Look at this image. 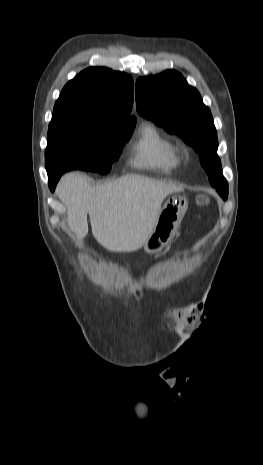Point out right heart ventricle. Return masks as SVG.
I'll use <instances>...</instances> for the list:
<instances>
[{
    "label": "right heart ventricle",
    "mask_w": 263,
    "mask_h": 465,
    "mask_svg": "<svg viewBox=\"0 0 263 465\" xmlns=\"http://www.w3.org/2000/svg\"><path fill=\"white\" fill-rule=\"evenodd\" d=\"M133 166L171 174L180 165L177 146L152 124H143L131 146Z\"/></svg>",
    "instance_id": "1"
}]
</instances>
